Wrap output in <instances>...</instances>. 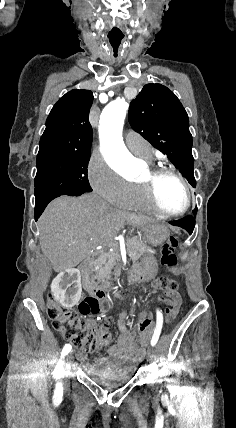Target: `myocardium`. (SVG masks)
I'll return each mask as SVG.
<instances>
[{"label":"myocardium","mask_w":236,"mask_h":428,"mask_svg":"<svg viewBox=\"0 0 236 428\" xmlns=\"http://www.w3.org/2000/svg\"><path fill=\"white\" fill-rule=\"evenodd\" d=\"M165 176H172L178 179L184 186V189L186 191V203L184 207L180 210H176V211L167 210L159 200V197L157 194V184ZM138 184L141 186L144 197L148 202V204L156 212H158L163 216H168V217L179 216L186 213L191 207V204H192L191 185L188 179L183 174H181L179 171L171 167L159 166L157 168L149 170L147 172V176L143 180H140Z\"/></svg>","instance_id":"obj_1"}]
</instances>
